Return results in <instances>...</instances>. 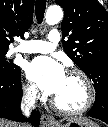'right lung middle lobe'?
Returning a JSON list of instances; mask_svg holds the SVG:
<instances>
[{
	"mask_svg": "<svg viewBox=\"0 0 108 127\" xmlns=\"http://www.w3.org/2000/svg\"><path fill=\"white\" fill-rule=\"evenodd\" d=\"M8 50H0V72L6 75H14L20 71V67L6 60L5 55Z\"/></svg>",
	"mask_w": 108,
	"mask_h": 127,
	"instance_id": "right-lung-middle-lobe-1",
	"label": "right lung middle lobe"
}]
</instances>
